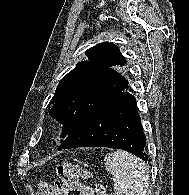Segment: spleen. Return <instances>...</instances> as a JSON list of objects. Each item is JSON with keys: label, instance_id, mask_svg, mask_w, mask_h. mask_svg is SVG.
Instances as JSON below:
<instances>
[{"label": "spleen", "instance_id": "spleen-1", "mask_svg": "<svg viewBox=\"0 0 189 195\" xmlns=\"http://www.w3.org/2000/svg\"><path fill=\"white\" fill-rule=\"evenodd\" d=\"M104 165L113 176L116 195H147L149 172L142 160L117 150L106 154Z\"/></svg>", "mask_w": 189, "mask_h": 195}]
</instances>
